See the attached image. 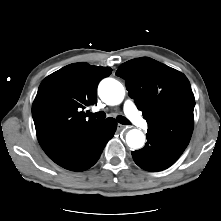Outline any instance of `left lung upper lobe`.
I'll return each instance as SVG.
<instances>
[{
	"mask_svg": "<svg viewBox=\"0 0 221 221\" xmlns=\"http://www.w3.org/2000/svg\"><path fill=\"white\" fill-rule=\"evenodd\" d=\"M148 122V134L185 149L193 132L195 99L187 77L149 57L132 59L116 72Z\"/></svg>",
	"mask_w": 221,
	"mask_h": 221,
	"instance_id": "5c2ea615",
	"label": "left lung upper lobe"
}]
</instances>
